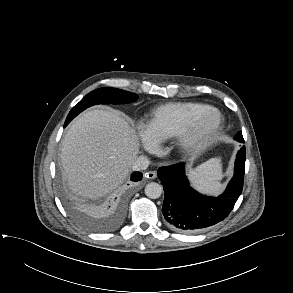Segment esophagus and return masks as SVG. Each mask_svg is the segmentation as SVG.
Returning a JSON list of instances; mask_svg holds the SVG:
<instances>
[{"instance_id": "1", "label": "esophagus", "mask_w": 293, "mask_h": 293, "mask_svg": "<svg viewBox=\"0 0 293 293\" xmlns=\"http://www.w3.org/2000/svg\"><path fill=\"white\" fill-rule=\"evenodd\" d=\"M145 178L155 179L157 177V173L155 171H149L144 174Z\"/></svg>"}]
</instances>
